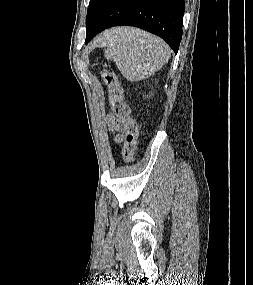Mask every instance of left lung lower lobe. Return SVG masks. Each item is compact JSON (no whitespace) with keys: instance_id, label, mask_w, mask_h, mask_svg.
<instances>
[{"instance_id":"1","label":"left lung lower lobe","mask_w":253,"mask_h":285,"mask_svg":"<svg viewBox=\"0 0 253 285\" xmlns=\"http://www.w3.org/2000/svg\"><path fill=\"white\" fill-rule=\"evenodd\" d=\"M184 0H109L86 43L104 29L128 25L160 36L177 53L182 38Z\"/></svg>"}]
</instances>
